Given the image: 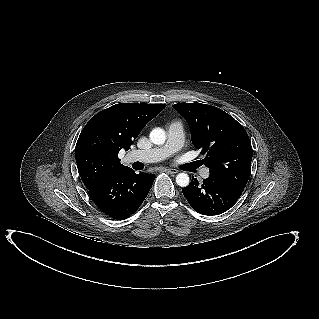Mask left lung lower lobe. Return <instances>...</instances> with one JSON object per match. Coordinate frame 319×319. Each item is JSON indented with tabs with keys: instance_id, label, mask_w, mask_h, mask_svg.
Segmentation results:
<instances>
[{
	"instance_id": "left-lung-lower-lobe-1",
	"label": "left lung lower lobe",
	"mask_w": 319,
	"mask_h": 319,
	"mask_svg": "<svg viewBox=\"0 0 319 319\" xmlns=\"http://www.w3.org/2000/svg\"><path fill=\"white\" fill-rule=\"evenodd\" d=\"M182 191L195 211L202 215H215L229 210L237 202L243 189L210 175L202 184L193 179Z\"/></svg>"
}]
</instances>
